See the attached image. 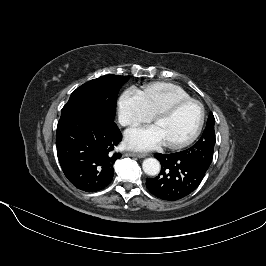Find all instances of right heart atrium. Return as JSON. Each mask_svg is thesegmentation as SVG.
<instances>
[{"mask_svg":"<svg viewBox=\"0 0 266 266\" xmlns=\"http://www.w3.org/2000/svg\"><path fill=\"white\" fill-rule=\"evenodd\" d=\"M118 115L124 126L148 122L152 115L148 111L141 91L134 87L126 89L119 98Z\"/></svg>","mask_w":266,"mask_h":266,"instance_id":"d8ad5b80","label":"right heart atrium"}]
</instances>
